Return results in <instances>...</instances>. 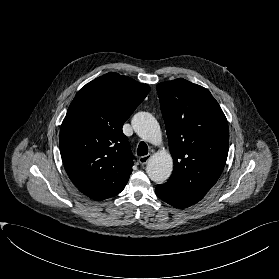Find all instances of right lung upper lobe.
<instances>
[{"label":"right lung upper lobe","instance_id":"1","mask_svg":"<svg viewBox=\"0 0 279 279\" xmlns=\"http://www.w3.org/2000/svg\"><path fill=\"white\" fill-rule=\"evenodd\" d=\"M150 90L130 77L107 73L79 90L60 130V152L74 185L94 200L119 194L127 184L133 155L124 122Z\"/></svg>","mask_w":279,"mask_h":279}]
</instances>
